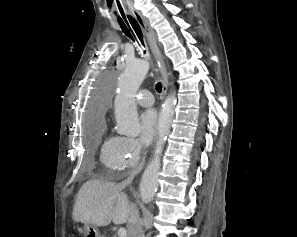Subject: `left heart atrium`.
Masks as SVG:
<instances>
[{
    "mask_svg": "<svg viewBox=\"0 0 297 237\" xmlns=\"http://www.w3.org/2000/svg\"><path fill=\"white\" fill-rule=\"evenodd\" d=\"M140 140L149 145L156 136L158 115L155 109H147L140 115Z\"/></svg>",
    "mask_w": 297,
    "mask_h": 237,
    "instance_id": "39dd6f15",
    "label": "left heart atrium"
}]
</instances>
